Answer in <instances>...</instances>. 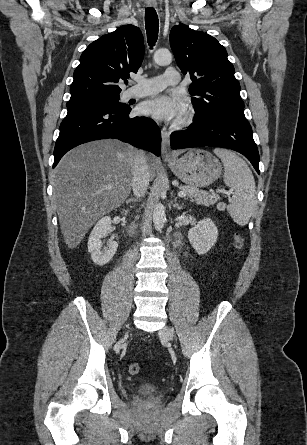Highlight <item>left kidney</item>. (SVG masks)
Returning a JSON list of instances; mask_svg holds the SVG:
<instances>
[{
	"label": "left kidney",
	"mask_w": 307,
	"mask_h": 445,
	"mask_svg": "<svg viewBox=\"0 0 307 445\" xmlns=\"http://www.w3.org/2000/svg\"><path fill=\"white\" fill-rule=\"evenodd\" d=\"M218 237L217 227L211 218H203L199 223L189 229L188 239L198 255H205L214 247Z\"/></svg>",
	"instance_id": "1"
}]
</instances>
